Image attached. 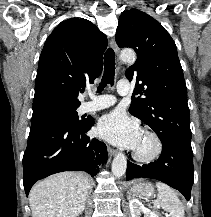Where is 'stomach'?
<instances>
[{
  "mask_svg": "<svg viewBox=\"0 0 211 217\" xmlns=\"http://www.w3.org/2000/svg\"><path fill=\"white\" fill-rule=\"evenodd\" d=\"M131 191L146 197H150L154 195V187L150 182L135 183L132 185Z\"/></svg>",
  "mask_w": 211,
  "mask_h": 217,
  "instance_id": "1",
  "label": "stomach"
}]
</instances>
